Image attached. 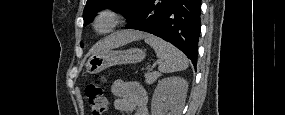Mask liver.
Instances as JSON below:
<instances>
[{
	"instance_id": "1",
	"label": "liver",
	"mask_w": 285,
	"mask_h": 115,
	"mask_svg": "<svg viewBox=\"0 0 285 115\" xmlns=\"http://www.w3.org/2000/svg\"><path fill=\"white\" fill-rule=\"evenodd\" d=\"M147 36L146 33L139 31H120L105 38L96 48L95 53H104Z\"/></svg>"
}]
</instances>
